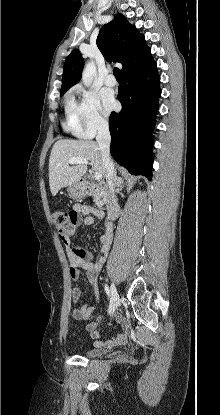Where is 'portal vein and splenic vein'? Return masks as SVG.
Here are the masks:
<instances>
[{"label": "portal vein and splenic vein", "mask_w": 220, "mask_h": 415, "mask_svg": "<svg viewBox=\"0 0 220 415\" xmlns=\"http://www.w3.org/2000/svg\"><path fill=\"white\" fill-rule=\"evenodd\" d=\"M68 163L69 164H72V165H74V164H85V165H88L89 164L86 159L76 158V157L69 159L68 160ZM94 178H95V180L99 181V180L102 179V175L100 173H98V172H95L94 173Z\"/></svg>", "instance_id": "1"}]
</instances>
